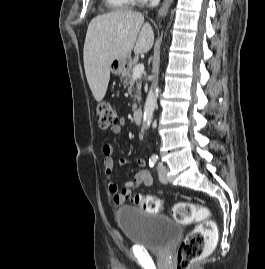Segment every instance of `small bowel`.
<instances>
[{
	"instance_id": "obj_1",
	"label": "small bowel",
	"mask_w": 265,
	"mask_h": 269,
	"mask_svg": "<svg viewBox=\"0 0 265 269\" xmlns=\"http://www.w3.org/2000/svg\"><path fill=\"white\" fill-rule=\"evenodd\" d=\"M124 126V121L120 120V122L111 128V132L115 135L120 134L122 127ZM102 153L104 156V172L106 177L109 179L108 181V190L113 193V203L115 205H122L127 202L132 193L138 189L141 185L146 187H150L153 184V179L149 173L145 169L146 162L143 158H139L136 160L137 165L141 168L132 180L126 181L124 183L123 188H119L117 184L110 180L115 162H114V147L111 144H104L102 147ZM127 162L125 158L120 159V163L123 165Z\"/></svg>"
}]
</instances>
